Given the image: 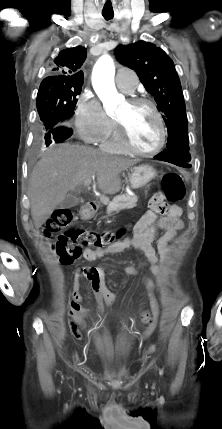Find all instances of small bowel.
Here are the masks:
<instances>
[{
    "instance_id": "obj_1",
    "label": "small bowel",
    "mask_w": 222,
    "mask_h": 429,
    "mask_svg": "<svg viewBox=\"0 0 222 429\" xmlns=\"http://www.w3.org/2000/svg\"><path fill=\"white\" fill-rule=\"evenodd\" d=\"M163 200L161 193L156 194L151 199L150 210L136 224L134 235L131 239L114 242L106 248L86 249L83 251V258L88 262H92L107 254H116L129 248H135L142 251L147 258L150 263L151 273L158 275L160 263L167 259L170 252L168 243L176 239L178 231L183 227L181 207L178 205L169 206ZM159 232L163 233L160 237H157ZM154 242H156V248L153 246ZM110 267L112 265L108 263H103L97 267L83 266L75 274V288L78 286L79 279L82 276L86 277L91 283L97 302V306L93 311L83 310L81 308V297L78 293H74L70 304V313L73 316L70 327L77 338L81 337L80 328L85 329L84 318L100 315L105 308L110 307L115 302V296L107 288L105 281V272ZM120 269L127 275H138V270L134 266L125 265ZM143 282L152 294L153 280L149 277H144ZM153 330L154 328L150 327L140 336V340L147 339L153 333Z\"/></svg>"
}]
</instances>
